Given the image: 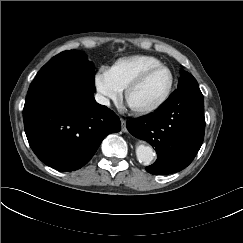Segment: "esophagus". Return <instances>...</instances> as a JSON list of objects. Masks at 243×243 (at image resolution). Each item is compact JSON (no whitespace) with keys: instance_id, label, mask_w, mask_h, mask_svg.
<instances>
[{"instance_id":"esophagus-1","label":"esophagus","mask_w":243,"mask_h":243,"mask_svg":"<svg viewBox=\"0 0 243 243\" xmlns=\"http://www.w3.org/2000/svg\"><path fill=\"white\" fill-rule=\"evenodd\" d=\"M120 121H121L122 131L126 133V132H127V127H126V123H127V122H126V120L123 119V118H121Z\"/></svg>"}]
</instances>
